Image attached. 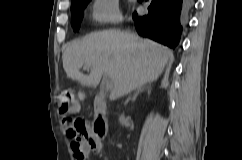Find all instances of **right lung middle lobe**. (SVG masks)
Instances as JSON below:
<instances>
[{
  "label": "right lung middle lobe",
  "mask_w": 242,
  "mask_h": 160,
  "mask_svg": "<svg viewBox=\"0 0 242 160\" xmlns=\"http://www.w3.org/2000/svg\"><path fill=\"white\" fill-rule=\"evenodd\" d=\"M90 0H75L71 2V24L74 31H78L83 16V10Z\"/></svg>",
  "instance_id": "right-lung-middle-lobe-1"
}]
</instances>
